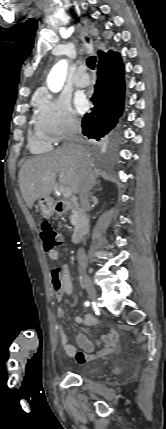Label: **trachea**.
<instances>
[{"mask_svg":"<svg viewBox=\"0 0 166 429\" xmlns=\"http://www.w3.org/2000/svg\"><path fill=\"white\" fill-rule=\"evenodd\" d=\"M95 65H96V57L95 56H91L87 59V66L90 69H95Z\"/></svg>","mask_w":166,"mask_h":429,"instance_id":"obj_1","label":"trachea"}]
</instances>
